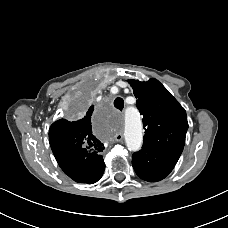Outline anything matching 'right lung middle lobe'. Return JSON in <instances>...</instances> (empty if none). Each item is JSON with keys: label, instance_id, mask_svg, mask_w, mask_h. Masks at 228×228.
Instances as JSON below:
<instances>
[{"label": "right lung middle lobe", "instance_id": "obj_1", "mask_svg": "<svg viewBox=\"0 0 228 228\" xmlns=\"http://www.w3.org/2000/svg\"><path fill=\"white\" fill-rule=\"evenodd\" d=\"M91 99H92L91 92L89 91L82 92V94H80L75 99L72 110L77 114H81L88 108V106L91 103Z\"/></svg>", "mask_w": 228, "mask_h": 228}]
</instances>
